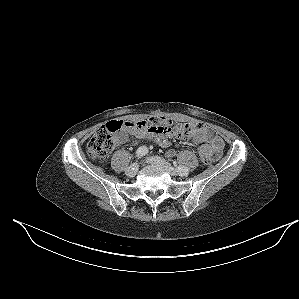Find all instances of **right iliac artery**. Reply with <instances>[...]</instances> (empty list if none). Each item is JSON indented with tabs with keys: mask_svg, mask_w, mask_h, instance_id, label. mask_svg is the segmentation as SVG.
<instances>
[{
	"mask_svg": "<svg viewBox=\"0 0 299 299\" xmlns=\"http://www.w3.org/2000/svg\"><path fill=\"white\" fill-rule=\"evenodd\" d=\"M148 153V148L146 146H141L136 151V157H142Z\"/></svg>",
	"mask_w": 299,
	"mask_h": 299,
	"instance_id": "82829eb1",
	"label": "right iliac artery"
}]
</instances>
